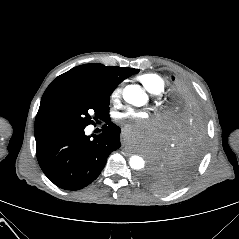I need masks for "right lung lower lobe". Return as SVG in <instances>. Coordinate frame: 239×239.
<instances>
[{
    "label": "right lung lower lobe",
    "mask_w": 239,
    "mask_h": 239,
    "mask_svg": "<svg viewBox=\"0 0 239 239\" xmlns=\"http://www.w3.org/2000/svg\"><path fill=\"white\" fill-rule=\"evenodd\" d=\"M85 127L35 130L36 155L44 174L58 187L79 190L92 183L109 154L121 146V129L113 122L100 135L86 136Z\"/></svg>",
    "instance_id": "right-lung-lower-lobe-1"
}]
</instances>
